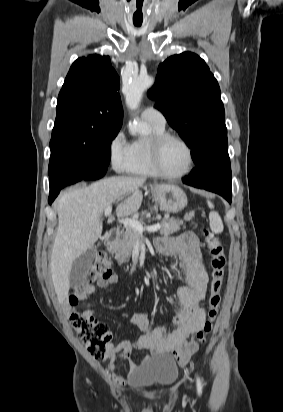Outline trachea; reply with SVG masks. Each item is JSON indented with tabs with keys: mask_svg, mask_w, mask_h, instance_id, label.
<instances>
[{
	"mask_svg": "<svg viewBox=\"0 0 283 412\" xmlns=\"http://www.w3.org/2000/svg\"><path fill=\"white\" fill-rule=\"evenodd\" d=\"M136 26H140L141 24H135Z\"/></svg>",
	"mask_w": 283,
	"mask_h": 412,
	"instance_id": "trachea-1",
	"label": "trachea"
}]
</instances>
